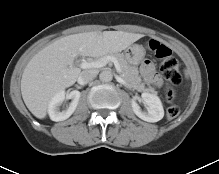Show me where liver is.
<instances>
[{
  "label": "liver",
  "mask_w": 219,
  "mask_h": 174,
  "mask_svg": "<svg viewBox=\"0 0 219 174\" xmlns=\"http://www.w3.org/2000/svg\"><path fill=\"white\" fill-rule=\"evenodd\" d=\"M142 35L123 31L86 32L62 37L43 48L28 62L21 79V94L30 112L43 119L52 97L72 86L81 69L78 56L100 57L120 52Z\"/></svg>",
  "instance_id": "1"
}]
</instances>
